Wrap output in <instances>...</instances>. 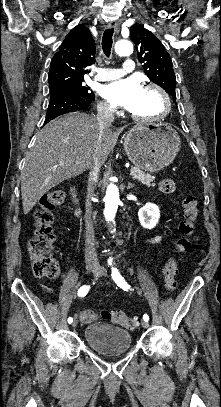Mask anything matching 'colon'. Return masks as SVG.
Wrapping results in <instances>:
<instances>
[{
	"instance_id": "1",
	"label": "colon",
	"mask_w": 221,
	"mask_h": 407,
	"mask_svg": "<svg viewBox=\"0 0 221 407\" xmlns=\"http://www.w3.org/2000/svg\"><path fill=\"white\" fill-rule=\"evenodd\" d=\"M175 182L166 178L161 180L160 189L163 193L171 194L175 191ZM65 201V192L54 189L43 195L34 211V228L28 243V251L32 262L33 272L40 278H54L58 275L57 265L52 256L56 239L53 229V210ZM182 218L179 222L180 236L176 240L175 252L163 267L164 286L167 291H174L177 286L176 275L179 267V256L191 249V236L194 233V221L198 214V201L195 196L188 195L182 203ZM80 321L84 324L93 323L98 318L110 319L113 323L126 329H135L137 319L127 315L122 310L101 311L81 310Z\"/></svg>"
}]
</instances>
